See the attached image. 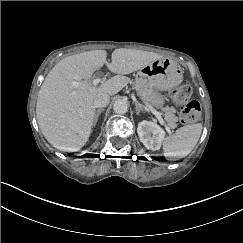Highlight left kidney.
<instances>
[{
	"label": "left kidney",
	"mask_w": 243,
	"mask_h": 243,
	"mask_svg": "<svg viewBox=\"0 0 243 243\" xmlns=\"http://www.w3.org/2000/svg\"><path fill=\"white\" fill-rule=\"evenodd\" d=\"M137 132L140 141L147 149L158 150L164 138V131L152 122L142 121L138 124Z\"/></svg>",
	"instance_id": "5707ae66"
}]
</instances>
